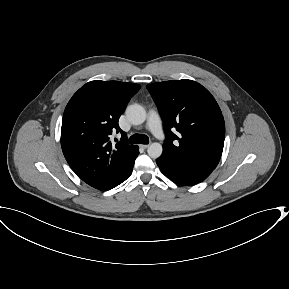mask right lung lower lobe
I'll return each mask as SVG.
<instances>
[{"label": "right lung lower lobe", "mask_w": 289, "mask_h": 289, "mask_svg": "<svg viewBox=\"0 0 289 289\" xmlns=\"http://www.w3.org/2000/svg\"><path fill=\"white\" fill-rule=\"evenodd\" d=\"M139 154V148L137 147V149L135 150L134 152V155H133V158L131 160V164L129 165V168L128 170L126 171V173L123 175V177L121 178V180L116 184L119 185L120 183H122L123 181H125L132 173V169H133V166H134V162H135V159L136 157L138 156Z\"/></svg>", "instance_id": "obj_1"}]
</instances>
